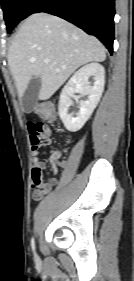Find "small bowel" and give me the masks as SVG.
Wrapping results in <instances>:
<instances>
[{
	"mask_svg": "<svg viewBox=\"0 0 134 281\" xmlns=\"http://www.w3.org/2000/svg\"><path fill=\"white\" fill-rule=\"evenodd\" d=\"M27 128L30 134L31 149L33 155V168H32V186L36 189L33 191V197L35 199L42 198L45 194L51 191L55 180L51 179L47 182L43 179V173L46 168L45 162L39 158L40 149L44 146L51 144L50 134L51 130L49 126L43 122L29 121ZM61 154L59 152H53L49 158L52 175H56L59 165H64L61 161Z\"/></svg>",
	"mask_w": 134,
	"mask_h": 281,
	"instance_id": "1",
	"label": "small bowel"
}]
</instances>
